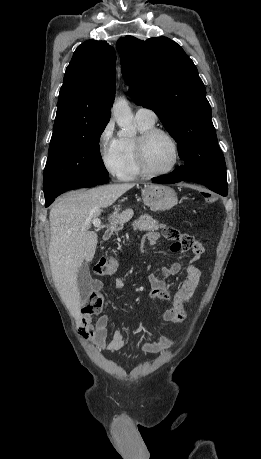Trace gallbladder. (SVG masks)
Listing matches in <instances>:
<instances>
[{"instance_id":"1","label":"gallbladder","mask_w":261,"mask_h":459,"mask_svg":"<svg viewBox=\"0 0 261 459\" xmlns=\"http://www.w3.org/2000/svg\"><path fill=\"white\" fill-rule=\"evenodd\" d=\"M91 275L87 263H83L77 273V284L81 300L84 301L91 291Z\"/></svg>"}]
</instances>
